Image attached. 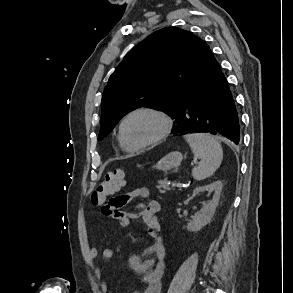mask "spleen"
Returning a JSON list of instances; mask_svg holds the SVG:
<instances>
[{
  "mask_svg": "<svg viewBox=\"0 0 293 293\" xmlns=\"http://www.w3.org/2000/svg\"><path fill=\"white\" fill-rule=\"evenodd\" d=\"M184 139L188 142L196 158L201 161L192 170L196 180L210 177L220 166L223 159V151L219 141L204 133L185 134Z\"/></svg>",
  "mask_w": 293,
  "mask_h": 293,
  "instance_id": "obj_1",
  "label": "spleen"
}]
</instances>
